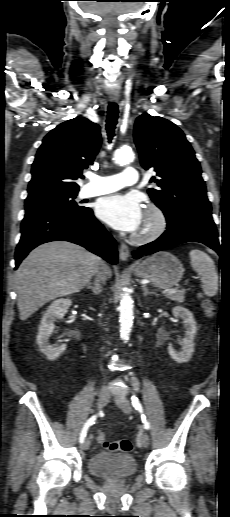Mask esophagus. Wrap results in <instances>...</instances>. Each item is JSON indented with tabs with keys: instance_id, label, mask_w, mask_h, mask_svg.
I'll list each match as a JSON object with an SVG mask.
<instances>
[{
	"instance_id": "1",
	"label": "esophagus",
	"mask_w": 230,
	"mask_h": 517,
	"mask_svg": "<svg viewBox=\"0 0 230 517\" xmlns=\"http://www.w3.org/2000/svg\"><path fill=\"white\" fill-rule=\"evenodd\" d=\"M118 99H119V96L117 94L110 96V101H112V102H117ZM129 256H130V251H129L128 246L125 243H121L120 244V248H119V258H120V260L121 261H126Z\"/></svg>"
}]
</instances>
